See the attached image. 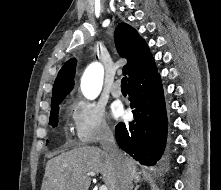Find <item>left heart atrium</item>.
<instances>
[{"label":"left heart atrium","instance_id":"left-heart-atrium-1","mask_svg":"<svg viewBox=\"0 0 221 190\" xmlns=\"http://www.w3.org/2000/svg\"><path fill=\"white\" fill-rule=\"evenodd\" d=\"M112 114L114 117H122L124 115V109L120 103H115L112 106Z\"/></svg>","mask_w":221,"mask_h":190}]
</instances>
